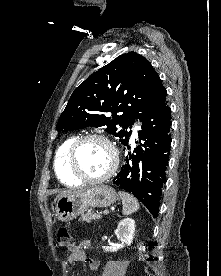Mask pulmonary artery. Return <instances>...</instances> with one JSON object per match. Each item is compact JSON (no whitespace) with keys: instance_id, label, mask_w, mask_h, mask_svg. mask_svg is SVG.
Wrapping results in <instances>:
<instances>
[{"instance_id":"pulmonary-artery-1","label":"pulmonary artery","mask_w":221,"mask_h":276,"mask_svg":"<svg viewBox=\"0 0 221 276\" xmlns=\"http://www.w3.org/2000/svg\"><path fill=\"white\" fill-rule=\"evenodd\" d=\"M138 134H137V128L135 127L134 130H133V134H132V137L133 138H137Z\"/></svg>"}]
</instances>
